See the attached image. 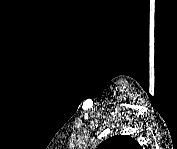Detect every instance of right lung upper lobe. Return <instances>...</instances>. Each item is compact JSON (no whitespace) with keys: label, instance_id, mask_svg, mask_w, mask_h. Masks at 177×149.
Here are the masks:
<instances>
[{"label":"right lung upper lobe","instance_id":"obj_1","mask_svg":"<svg viewBox=\"0 0 177 149\" xmlns=\"http://www.w3.org/2000/svg\"><path fill=\"white\" fill-rule=\"evenodd\" d=\"M139 144L128 135H116L102 142L98 149H137Z\"/></svg>","mask_w":177,"mask_h":149}]
</instances>
